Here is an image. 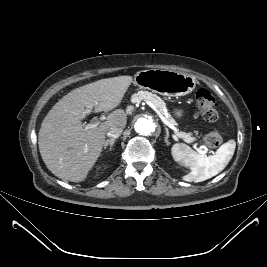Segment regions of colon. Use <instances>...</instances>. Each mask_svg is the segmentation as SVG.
<instances>
[{"mask_svg":"<svg viewBox=\"0 0 267 267\" xmlns=\"http://www.w3.org/2000/svg\"><path fill=\"white\" fill-rule=\"evenodd\" d=\"M196 99L204 119L209 122L217 121L219 118V105L210 91L205 88L198 89ZM204 142L207 146L214 148L221 144L222 137L218 131L210 130L204 135Z\"/></svg>","mask_w":267,"mask_h":267,"instance_id":"1","label":"colon"}]
</instances>
